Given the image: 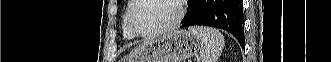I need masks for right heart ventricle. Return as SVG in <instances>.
Wrapping results in <instances>:
<instances>
[{"label":"right heart ventricle","mask_w":331,"mask_h":62,"mask_svg":"<svg viewBox=\"0 0 331 62\" xmlns=\"http://www.w3.org/2000/svg\"><path fill=\"white\" fill-rule=\"evenodd\" d=\"M132 5H133V1H129L124 11L123 20H122L123 35L127 39H135L137 37V35L131 30L128 20L129 12Z\"/></svg>","instance_id":"obj_1"}]
</instances>
